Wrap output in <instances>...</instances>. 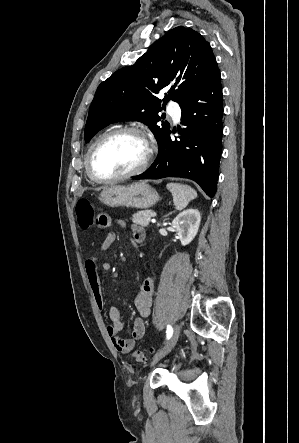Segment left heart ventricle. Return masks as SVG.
Segmentation results:
<instances>
[{
  "instance_id": "b2bd125f",
  "label": "left heart ventricle",
  "mask_w": 299,
  "mask_h": 443,
  "mask_svg": "<svg viewBox=\"0 0 299 443\" xmlns=\"http://www.w3.org/2000/svg\"><path fill=\"white\" fill-rule=\"evenodd\" d=\"M145 144L135 134H120L98 146L92 164L100 177L125 173L139 165L145 154Z\"/></svg>"
}]
</instances>
